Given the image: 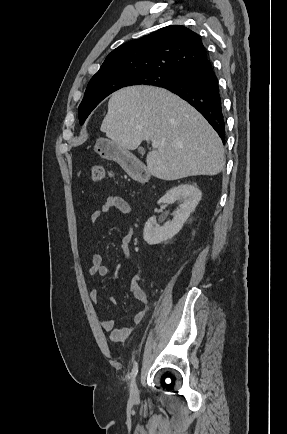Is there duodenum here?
I'll use <instances>...</instances> for the list:
<instances>
[{"label":"duodenum","mask_w":287,"mask_h":434,"mask_svg":"<svg viewBox=\"0 0 287 434\" xmlns=\"http://www.w3.org/2000/svg\"><path fill=\"white\" fill-rule=\"evenodd\" d=\"M123 163L135 180L145 181L147 179V171L141 165H139L132 157H124Z\"/></svg>","instance_id":"duodenum-1"}]
</instances>
